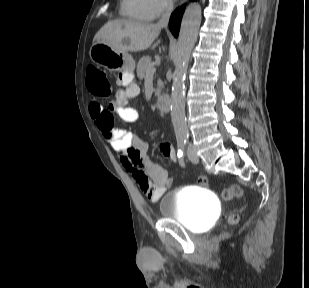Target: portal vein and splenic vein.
I'll use <instances>...</instances> for the list:
<instances>
[{
	"label": "portal vein and splenic vein",
	"mask_w": 309,
	"mask_h": 288,
	"mask_svg": "<svg viewBox=\"0 0 309 288\" xmlns=\"http://www.w3.org/2000/svg\"><path fill=\"white\" fill-rule=\"evenodd\" d=\"M156 69L152 66L148 69L147 74L148 75H153L155 73Z\"/></svg>",
	"instance_id": "portal-vein-and-splenic-vein-1"
}]
</instances>
